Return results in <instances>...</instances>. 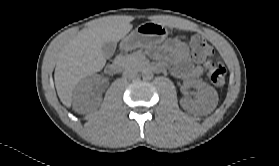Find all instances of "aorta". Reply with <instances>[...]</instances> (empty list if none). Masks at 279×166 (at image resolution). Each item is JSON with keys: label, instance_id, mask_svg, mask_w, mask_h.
<instances>
[{"label": "aorta", "instance_id": "1", "mask_svg": "<svg viewBox=\"0 0 279 166\" xmlns=\"http://www.w3.org/2000/svg\"><path fill=\"white\" fill-rule=\"evenodd\" d=\"M142 77L144 80H151L153 78V73L149 69H144L142 71Z\"/></svg>", "mask_w": 279, "mask_h": 166}]
</instances>
